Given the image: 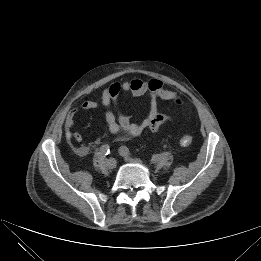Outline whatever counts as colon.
I'll use <instances>...</instances> for the list:
<instances>
[{"mask_svg":"<svg viewBox=\"0 0 261 261\" xmlns=\"http://www.w3.org/2000/svg\"><path fill=\"white\" fill-rule=\"evenodd\" d=\"M192 140H193V138H192L191 134L186 132V133H184V134L181 136V138H180V144H181L182 146H184V147H187V146L191 145Z\"/></svg>","mask_w":261,"mask_h":261,"instance_id":"obj_1","label":"colon"}]
</instances>
